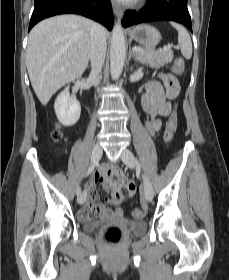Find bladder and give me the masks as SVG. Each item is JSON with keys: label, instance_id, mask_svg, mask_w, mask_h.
<instances>
[{"label": "bladder", "instance_id": "31cf9c89", "mask_svg": "<svg viewBox=\"0 0 229 280\" xmlns=\"http://www.w3.org/2000/svg\"><path fill=\"white\" fill-rule=\"evenodd\" d=\"M126 227L131 234H143L147 230V225L143 220H126ZM84 230L88 233L97 231L101 225L100 221L94 219H87L83 222Z\"/></svg>", "mask_w": 229, "mask_h": 280}]
</instances>
